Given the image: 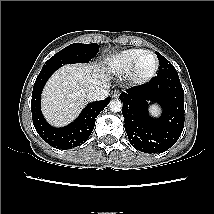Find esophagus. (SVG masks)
<instances>
[{
    "label": "esophagus",
    "mask_w": 214,
    "mask_h": 214,
    "mask_svg": "<svg viewBox=\"0 0 214 214\" xmlns=\"http://www.w3.org/2000/svg\"><path fill=\"white\" fill-rule=\"evenodd\" d=\"M119 94H120V92L118 90H115V91L112 92L111 96L113 98H118Z\"/></svg>",
    "instance_id": "34e87169"
}]
</instances>
